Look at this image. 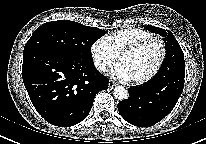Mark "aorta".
I'll use <instances>...</instances> for the list:
<instances>
[{"mask_svg":"<svg viewBox=\"0 0 206 144\" xmlns=\"http://www.w3.org/2000/svg\"><path fill=\"white\" fill-rule=\"evenodd\" d=\"M114 97L118 100H124L128 98V91L123 86H116L113 90Z\"/></svg>","mask_w":206,"mask_h":144,"instance_id":"1","label":"aorta"}]
</instances>
